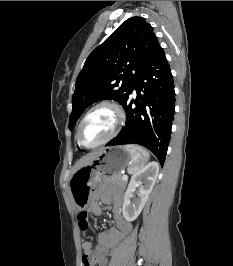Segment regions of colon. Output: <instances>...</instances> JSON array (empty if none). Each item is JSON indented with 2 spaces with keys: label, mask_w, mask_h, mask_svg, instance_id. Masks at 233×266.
I'll return each instance as SVG.
<instances>
[{
  "label": "colon",
  "mask_w": 233,
  "mask_h": 266,
  "mask_svg": "<svg viewBox=\"0 0 233 266\" xmlns=\"http://www.w3.org/2000/svg\"><path fill=\"white\" fill-rule=\"evenodd\" d=\"M88 214L86 211H82L79 213L78 215V225L79 228L81 229V231H85L88 228ZM85 262L87 264V266L91 265V258L90 257H86L85 258Z\"/></svg>",
  "instance_id": "colon-1"
}]
</instances>
